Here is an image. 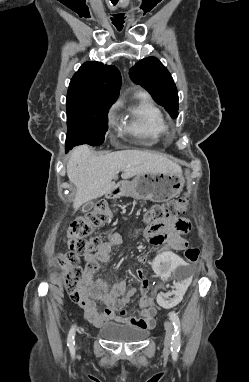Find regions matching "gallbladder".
<instances>
[{"mask_svg":"<svg viewBox=\"0 0 249 382\" xmlns=\"http://www.w3.org/2000/svg\"><path fill=\"white\" fill-rule=\"evenodd\" d=\"M93 206H94V203L92 201L84 203L82 206V212L85 213L90 211L93 208Z\"/></svg>","mask_w":249,"mask_h":382,"instance_id":"gallbladder-1","label":"gallbladder"}]
</instances>
